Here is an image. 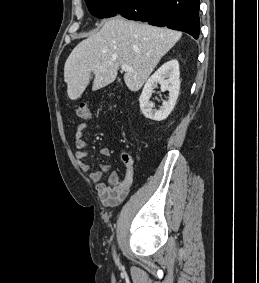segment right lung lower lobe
<instances>
[{
	"mask_svg": "<svg viewBox=\"0 0 259 283\" xmlns=\"http://www.w3.org/2000/svg\"><path fill=\"white\" fill-rule=\"evenodd\" d=\"M117 13L132 20L168 27L198 39L200 32L199 0H112Z\"/></svg>",
	"mask_w": 259,
	"mask_h": 283,
	"instance_id": "98d812e1",
	"label": "right lung lower lobe"
}]
</instances>
